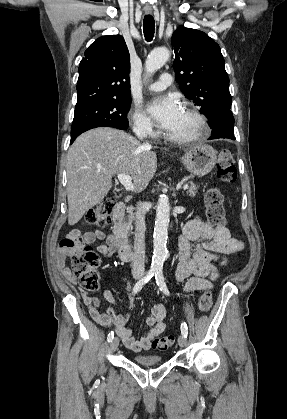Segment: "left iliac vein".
<instances>
[{
  "label": "left iliac vein",
  "instance_id": "4c4485c4",
  "mask_svg": "<svg viewBox=\"0 0 287 419\" xmlns=\"http://www.w3.org/2000/svg\"><path fill=\"white\" fill-rule=\"evenodd\" d=\"M186 338L182 335L178 338V344L180 347H184L186 345Z\"/></svg>",
  "mask_w": 287,
  "mask_h": 419
}]
</instances>
